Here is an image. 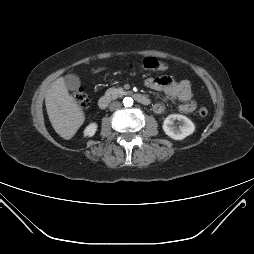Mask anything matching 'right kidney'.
I'll use <instances>...</instances> for the list:
<instances>
[{"mask_svg": "<svg viewBox=\"0 0 254 254\" xmlns=\"http://www.w3.org/2000/svg\"><path fill=\"white\" fill-rule=\"evenodd\" d=\"M97 124L96 123H91L89 124L85 130H84V135L87 137H92L95 135L96 131H97Z\"/></svg>", "mask_w": 254, "mask_h": 254, "instance_id": "right-kidney-1", "label": "right kidney"}]
</instances>
